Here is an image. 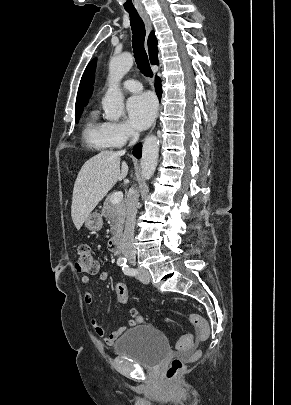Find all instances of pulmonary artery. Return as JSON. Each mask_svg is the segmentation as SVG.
Returning a JSON list of instances; mask_svg holds the SVG:
<instances>
[{"instance_id": "e3ab8cb5", "label": "pulmonary artery", "mask_w": 291, "mask_h": 405, "mask_svg": "<svg viewBox=\"0 0 291 405\" xmlns=\"http://www.w3.org/2000/svg\"><path fill=\"white\" fill-rule=\"evenodd\" d=\"M123 88L136 93L142 90V85L139 81L130 79L123 82Z\"/></svg>"}]
</instances>
